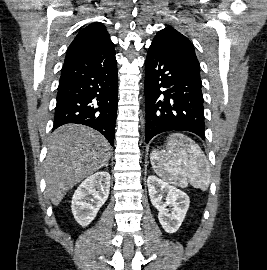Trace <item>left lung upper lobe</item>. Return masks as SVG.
Instances as JSON below:
<instances>
[{
  "instance_id": "obj_1",
  "label": "left lung upper lobe",
  "mask_w": 267,
  "mask_h": 270,
  "mask_svg": "<svg viewBox=\"0 0 267 270\" xmlns=\"http://www.w3.org/2000/svg\"><path fill=\"white\" fill-rule=\"evenodd\" d=\"M151 45L161 49L182 64L190 66L191 69L200 74V64L192 43L174 28L166 27L160 30Z\"/></svg>"
}]
</instances>
